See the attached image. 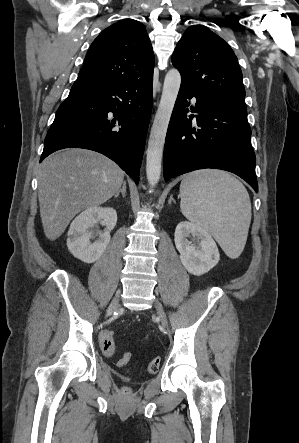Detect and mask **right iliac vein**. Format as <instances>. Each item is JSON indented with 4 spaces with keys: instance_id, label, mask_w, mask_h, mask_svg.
Returning <instances> with one entry per match:
<instances>
[{
    "instance_id": "right-iliac-vein-1",
    "label": "right iliac vein",
    "mask_w": 299,
    "mask_h": 443,
    "mask_svg": "<svg viewBox=\"0 0 299 443\" xmlns=\"http://www.w3.org/2000/svg\"><path fill=\"white\" fill-rule=\"evenodd\" d=\"M119 293H117V295L115 296V298L113 299L112 303L110 304L107 313L108 314H112L114 311L117 310L118 306H119Z\"/></svg>"
}]
</instances>
